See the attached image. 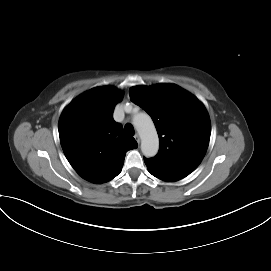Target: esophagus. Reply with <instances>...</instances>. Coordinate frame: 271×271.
I'll list each match as a JSON object with an SVG mask.
<instances>
[{
	"instance_id": "1",
	"label": "esophagus",
	"mask_w": 271,
	"mask_h": 271,
	"mask_svg": "<svg viewBox=\"0 0 271 271\" xmlns=\"http://www.w3.org/2000/svg\"><path fill=\"white\" fill-rule=\"evenodd\" d=\"M134 138H135L136 142L139 144L140 143V136H139V134H135Z\"/></svg>"
}]
</instances>
